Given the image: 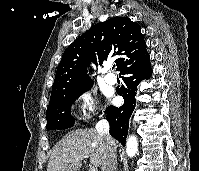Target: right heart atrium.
Masks as SVG:
<instances>
[{
    "label": "right heart atrium",
    "instance_id": "right-heart-atrium-1",
    "mask_svg": "<svg viewBox=\"0 0 199 171\" xmlns=\"http://www.w3.org/2000/svg\"><path fill=\"white\" fill-rule=\"evenodd\" d=\"M79 116L83 120H89L98 110L96 98L90 92L83 93L77 102Z\"/></svg>",
    "mask_w": 199,
    "mask_h": 171
}]
</instances>
